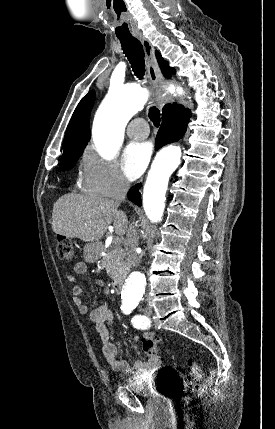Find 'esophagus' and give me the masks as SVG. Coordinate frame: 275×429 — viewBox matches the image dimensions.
<instances>
[{"label": "esophagus", "instance_id": "obj_1", "mask_svg": "<svg viewBox=\"0 0 275 429\" xmlns=\"http://www.w3.org/2000/svg\"><path fill=\"white\" fill-rule=\"evenodd\" d=\"M137 39L141 42L145 52L148 77L156 88V100L159 106L162 107L167 102V95L159 88L162 77L155 58L154 48L146 37L138 35Z\"/></svg>", "mask_w": 275, "mask_h": 429}]
</instances>
